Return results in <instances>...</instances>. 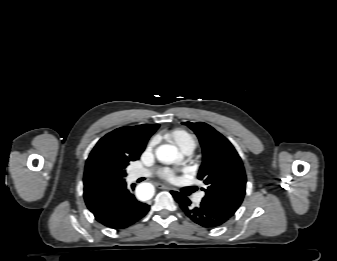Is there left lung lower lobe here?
Wrapping results in <instances>:
<instances>
[{
  "instance_id": "left-lung-lower-lobe-1",
  "label": "left lung lower lobe",
  "mask_w": 337,
  "mask_h": 261,
  "mask_svg": "<svg viewBox=\"0 0 337 261\" xmlns=\"http://www.w3.org/2000/svg\"><path fill=\"white\" fill-rule=\"evenodd\" d=\"M171 193L185 215L204 228H216L230 219L227 215L210 204L201 202L199 206L193 207L186 196L175 191Z\"/></svg>"
}]
</instances>
